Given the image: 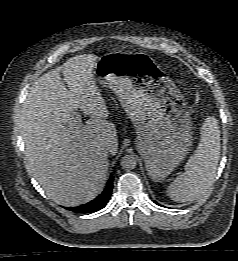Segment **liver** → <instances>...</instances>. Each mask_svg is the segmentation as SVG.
<instances>
[{
    "mask_svg": "<svg viewBox=\"0 0 238 261\" xmlns=\"http://www.w3.org/2000/svg\"><path fill=\"white\" fill-rule=\"evenodd\" d=\"M97 60L94 54L68 59L38 78L23 104L20 131L27 170L63 206L87 203L102 191L108 152L115 155L118 149L115 125L107 120V106L95 85ZM78 108L91 118L76 127L71 123Z\"/></svg>",
    "mask_w": 238,
    "mask_h": 261,
    "instance_id": "liver-1",
    "label": "liver"
}]
</instances>
